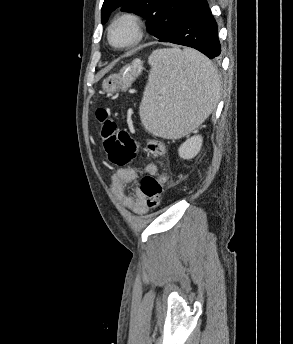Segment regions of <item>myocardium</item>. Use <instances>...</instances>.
Listing matches in <instances>:
<instances>
[{
	"instance_id": "obj_1",
	"label": "myocardium",
	"mask_w": 293,
	"mask_h": 344,
	"mask_svg": "<svg viewBox=\"0 0 293 344\" xmlns=\"http://www.w3.org/2000/svg\"><path fill=\"white\" fill-rule=\"evenodd\" d=\"M120 24H128L133 31V38L125 43L118 45L113 42L112 39V32L115 27H117ZM144 31H143V25L140 17L132 12H124L119 15H117L109 24L107 29V38L110 46L116 50H125L134 47L137 45L141 39L143 38Z\"/></svg>"
}]
</instances>
